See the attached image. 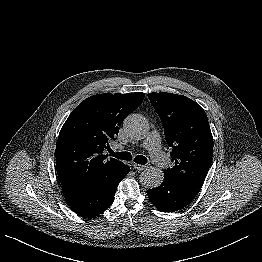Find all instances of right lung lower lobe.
<instances>
[{"instance_id":"obj_1","label":"right lung lower lobe","mask_w":262,"mask_h":262,"mask_svg":"<svg viewBox=\"0 0 262 262\" xmlns=\"http://www.w3.org/2000/svg\"><path fill=\"white\" fill-rule=\"evenodd\" d=\"M130 168L111 179H99L78 187H62L63 195L71 209L79 216L93 218L111 206L118 184Z\"/></svg>"}]
</instances>
